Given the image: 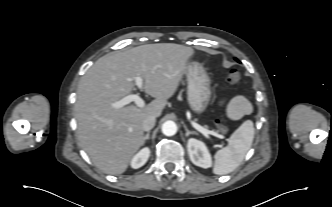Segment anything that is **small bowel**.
<instances>
[{"label": "small bowel", "instance_id": "obj_1", "mask_svg": "<svg viewBox=\"0 0 332 207\" xmlns=\"http://www.w3.org/2000/svg\"><path fill=\"white\" fill-rule=\"evenodd\" d=\"M226 109L228 117L236 120L248 114L251 111V106L245 97L236 96L226 102Z\"/></svg>", "mask_w": 332, "mask_h": 207}]
</instances>
